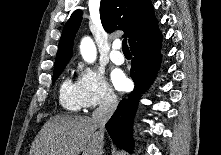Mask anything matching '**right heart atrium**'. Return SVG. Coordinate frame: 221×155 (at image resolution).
<instances>
[{"instance_id": "right-heart-atrium-1", "label": "right heart atrium", "mask_w": 221, "mask_h": 155, "mask_svg": "<svg viewBox=\"0 0 221 155\" xmlns=\"http://www.w3.org/2000/svg\"><path fill=\"white\" fill-rule=\"evenodd\" d=\"M76 83L81 106L85 109L110 107L117 102L114 90L99 69L80 65Z\"/></svg>"}]
</instances>
